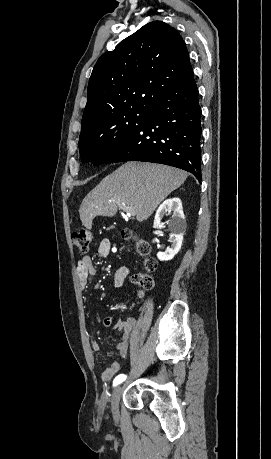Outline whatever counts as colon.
Segmentation results:
<instances>
[{
	"instance_id": "obj_1",
	"label": "colon",
	"mask_w": 271,
	"mask_h": 459,
	"mask_svg": "<svg viewBox=\"0 0 271 459\" xmlns=\"http://www.w3.org/2000/svg\"><path fill=\"white\" fill-rule=\"evenodd\" d=\"M123 236L129 238L130 234L127 230L123 231ZM73 247L79 252H86L93 240V234L88 229H80L72 234ZM139 254L145 256L144 267L148 272L156 269V260L149 257L150 245L145 241H140L136 245ZM133 283L137 284L141 291L148 290L153 286V278L148 273L136 274L132 277Z\"/></svg>"
}]
</instances>
